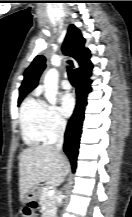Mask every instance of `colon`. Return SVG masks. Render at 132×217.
I'll list each match as a JSON object with an SVG mask.
<instances>
[{
  "label": "colon",
  "instance_id": "5ec220e1",
  "mask_svg": "<svg viewBox=\"0 0 132 217\" xmlns=\"http://www.w3.org/2000/svg\"><path fill=\"white\" fill-rule=\"evenodd\" d=\"M34 208L33 204H29L23 209L21 217H34Z\"/></svg>",
  "mask_w": 132,
  "mask_h": 217
}]
</instances>
